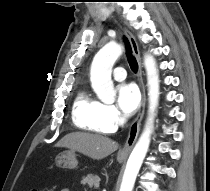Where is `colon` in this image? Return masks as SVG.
Segmentation results:
<instances>
[{"label":"colon","mask_w":210,"mask_h":191,"mask_svg":"<svg viewBox=\"0 0 210 191\" xmlns=\"http://www.w3.org/2000/svg\"><path fill=\"white\" fill-rule=\"evenodd\" d=\"M31 191H40V190H37V189H33V190H31Z\"/></svg>","instance_id":"colon-1"}]
</instances>
